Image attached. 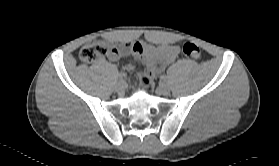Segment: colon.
Here are the masks:
<instances>
[{
	"label": "colon",
	"instance_id": "obj_1",
	"mask_svg": "<svg viewBox=\"0 0 279 166\" xmlns=\"http://www.w3.org/2000/svg\"><path fill=\"white\" fill-rule=\"evenodd\" d=\"M141 47L138 43L132 45H113L107 41H93L84 47L79 52V58L84 63H93L101 59L102 57L110 54H122L128 51L139 52ZM183 54L193 60L199 59L201 56V49L198 45L187 42L182 46ZM143 85L151 84V77L147 74H143L140 78Z\"/></svg>",
	"mask_w": 279,
	"mask_h": 166
}]
</instances>
